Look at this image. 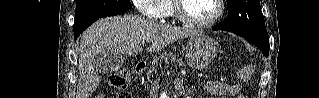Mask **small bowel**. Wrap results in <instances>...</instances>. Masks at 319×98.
Returning <instances> with one entry per match:
<instances>
[{
  "label": "small bowel",
  "instance_id": "c3829d8e",
  "mask_svg": "<svg viewBox=\"0 0 319 98\" xmlns=\"http://www.w3.org/2000/svg\"><path fill=\"white\" fill-rule=\"evenodd\" d=\"M175 86L177 89H181L183 87V83L181 80H176ZM206 89L209 93L216 97H223L226 95H231L235 98H245L241 94V87L237 84H228L222 81H210L206 84Z\"/></svg>",
  "mask_w": 319,
  "mask_h": 98
}]
</instances>
